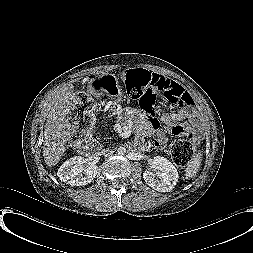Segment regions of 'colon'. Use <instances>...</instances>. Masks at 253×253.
<instances>
[{
	"instance_id": "1",
	"label": "colon",
	"mask_w": 253,
	"mask_h": 253,
	"mask_svg": "<svg viewBox=\"0 0 253 253\" xmlns=\"http://www.w3.org/2000/svg\"><path fill=\"white\" fill-rule=\"evenodd\" d=\"M122 79L127 95L138 100L141 109L147 113L155 111L156 100L162 95L171 104H188L187 97L181 95L174 82L147 70L127 69L123 71ZM95 109L96 103L87 93L80 92L75 96L71 111V146L76 147L82 142L86 129L94 121ZM195 143L196 138L191 131L186 137H179L172 142L171 157L177 166L184 167L188 164L195 153Z\"/></svg>"
}]
</instances>
